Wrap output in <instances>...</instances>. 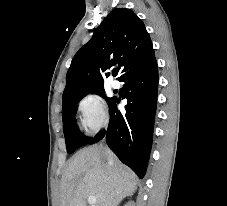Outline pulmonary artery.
<instances>
[{
	"label": "pulmonary artery",
	"instance_id": "1",
	"mask_svg": "<svg viewBox=\"0 0 227 206\" xmlns=\"http://www.w3.org/2000/svg\"><path fill=\"white\" fill-rule=\"evenodd\" d=\"M111 86H112V88H114V89H118V88L120 87V83H119V81H117V80H112V81H111Z\"/></svg>",
	"mask_w": 227,
	"mask_h": 206
}]
</instances>
